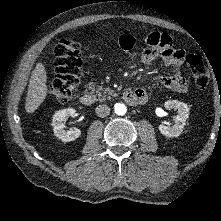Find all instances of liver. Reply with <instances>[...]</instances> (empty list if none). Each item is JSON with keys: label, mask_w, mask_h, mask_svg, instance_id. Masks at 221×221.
<instances>
[{"label": "liver", "mask_w": 221, "mask_h": 221, "mask_svg": "<svg viewBox=\"0 0 221 221\" xmlns=\"http://www.w3.org/2000/svg\"><path fill=\"white\" fill-rule=\"evenodd\" d=\"M47 72L45 66L38 62L30 77L28 92L25 103V110L27 113H33L45 100L48 87Z\"/></svg>", "instance_id": "liver-1"}]
</instances>
